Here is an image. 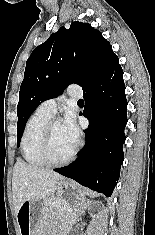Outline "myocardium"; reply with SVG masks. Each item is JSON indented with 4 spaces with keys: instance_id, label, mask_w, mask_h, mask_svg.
Wrapping results in <instances>:
<instances>
[{
    "instance_id": "1",
    "label": "myocardium",
    "mask_w": 155,
    "mask_h": 235,
    "mask_svg": "<svg viewBox=\"0 0 155 235\" xmlns=\"http://www.w3.org/2000/svg\"><path fill=\"white\" fill-rule=\"evenodd\" d=\"M56 123H60V121L58 119H50L48 123L46 124L43 130L39 151H40L41 158L46 164L52 165V166H61V165H66L70 163L74 159L77 153V146L75 145L72 152L66 158L62 160H55L51 156V153H50L51 132H52L53 126Z\"/></svg>"
}]
</instances>
